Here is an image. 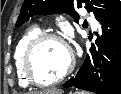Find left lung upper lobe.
<instances>
[{"instance_id":"obj_1","label":"left lung upper lobe","mask_w":121,"mask_h":94,"mask_svg":"<svg viewBox=\"0 0 121 94\" xmlns=\"http://www.w3.org/2000/svg\"><path fill=\"white\" fill-rule=\"evenodd\" d=\"M85 8L101 22L121 9L120 0H25L16 27L21 26L33 15L67 13L77 21L74 8Z\"/></svg>"}]
</instances>
